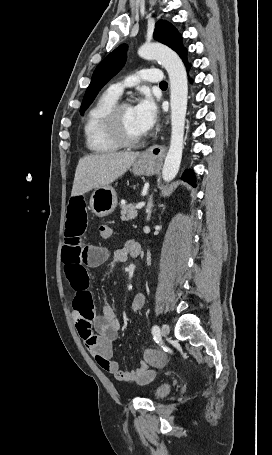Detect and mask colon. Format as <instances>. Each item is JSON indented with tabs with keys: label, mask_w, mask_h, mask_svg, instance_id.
<instances>
[{
	"label": "colon",
	"mask_w": 272,
	"mask_h": 455,
	"mask_svg": "<svg viewBox=\"0 0 272 455\" xmlns=\"http://www.w3.org/2000/svg\"><path fill=\"white\" fill-rule=\"evenodd\" d=\"M99 234L103 240H108L112 234L109 225L101 224L99 226ZM143 358L144 361L149 364H161L165 360V357L155 350H145L143 352Z\"/></svg>",
	"instance_id": "1"
}]
</instances>
